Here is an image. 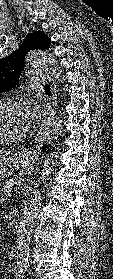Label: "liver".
<instances>
[{"instance_id": "1", "label": "liver", "mask_w": 113, "mask_h": 279, "mask_svg": "<svg viewBox=\"0 0 113 279\" xmlns=\"http://www.w3.org/2000/svg\"><path fill=\"white\" fill-rule=\"evenodd\" d=\"M0 152L4 154L12 155L14 153V150H1Z\"/></svg>"}]
</instances>
